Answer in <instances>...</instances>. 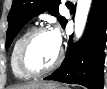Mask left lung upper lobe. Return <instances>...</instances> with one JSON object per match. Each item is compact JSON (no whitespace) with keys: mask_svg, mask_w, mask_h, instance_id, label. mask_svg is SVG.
<instances>
[{"mask_svg":"<svg viewBox=\"0 0 107 89\" xmlns=\"http://www.w3.org/2000/svg\"><path fill=\"white\" fill-rule=\"evenodd\" d=\"M59 3L60 0H13L7 18L8 30L5 47L8 48L10 46L18 32L34 16L45 11L57 16ZM58 20L62 27H65L67 21L63 17H59Z\"/></svg>","mask_w":107,"mask_h":89,"instance_id":"obj_1","label":"left lung upper lobe"}]
</instances>
